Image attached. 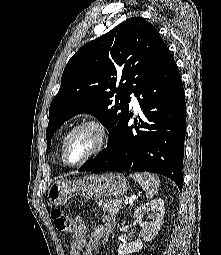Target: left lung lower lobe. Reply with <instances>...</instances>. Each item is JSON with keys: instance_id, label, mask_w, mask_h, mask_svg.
Here are the masks:
<instances>
[{"instance_id": "left-lung-lower-lobe-1", "label": "left lung lower lobe", "mask_w": 221, "mask_h": 255, "mask_svg": "<svg viewBox=\"0 0 221 255\" xmlns=\"http://www.w3.org/2000/svg\"><path fill=\"white\" fill-rule=\"evenodd\" d=\"M136 96L148 123L139 119L135 126L129 125L133 114L128 113L109 137L107 147L79 171H147L167 176L181 190L186 103L168 48Z\"/></svg>"}]
</instances>
